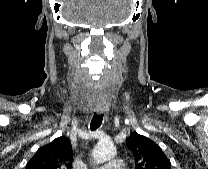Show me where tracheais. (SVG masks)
Masks as SVG:
<instances>
[{
	"label": "trachea",
	"instance_id": "1",
	"mask_svg": "<svg viewBox=\"0 0 208 169\" xmlns=\"http://www.w3.org/2000/svg\"><path fill=\"white\" fill-rule=\"evenodd\" d=\"M102 121H103V114L94 113V116H93L92 121L90 123V129L96 130L97 128H99L101 126Z\"/></svg>",
	"mask_w": 208,
	"mask_h": 169
}]
</instances>
